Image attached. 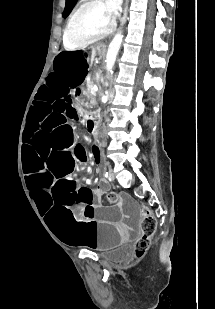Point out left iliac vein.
I'll list each match as a JSON object with an SVG mask.
<instances>
[{
    "label": "left iliac vein",
    "mask_w": 215,
    "mask_h": 309,
    "mask_svg": "<svg viewBox=\"0 0 215 309\" xmlns=\"http://www.w3.org/2000/svg\"><path fill=\"white\" fill-rule=\"evenodd\" d=\"M109 178H110V180H114V172H113V170L109 171Z\"/></svg>",
    "instance_id": "obj_1"
}]
</instances>
